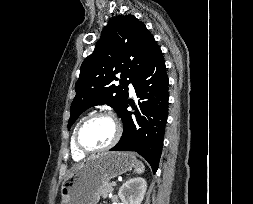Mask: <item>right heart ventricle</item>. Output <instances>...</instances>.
<instances>
[{"instance_id":"1","label":"right heart ventricle","mask_w":253,"mask_h":204,"mask_svg":"<svg viewBox=\"0 0 253 204\" xmlns=\"http://www.w3.org/2000/svg\"><path fill=\"white\" fill-rule=\"evenodd\" d=\"M77 127V126H76ZM75 127V129H76ZM75 129L72 133V136H71V141H70V148H71V154H72V158L75 160V161H80L84 158L85 154L79 152L75 146V143H74V133H75Z\"/></svg>"}]
</instances>
